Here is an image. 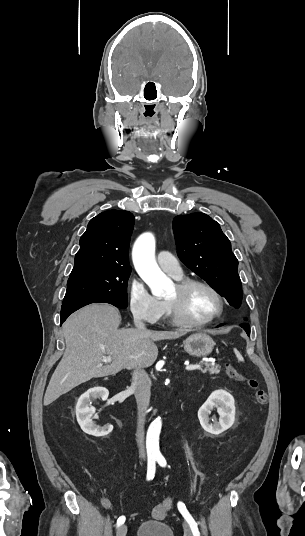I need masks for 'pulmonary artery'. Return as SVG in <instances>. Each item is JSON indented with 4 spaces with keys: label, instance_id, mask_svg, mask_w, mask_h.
Here are the masks:
<instances>
[{
    "label": "pulmonary artery",
    "instance_id": "obj_1",
    "mask_svg": "<svg viewBox=\"0 0 305 536\" xmlns=\"http://www.w3.org/2000/svg\"><path fill=\"white\" fill-rule=\"evenodd\" d=\"M158 265L174 278L183 276V270L176 258L167 251H160L156 257Z\"/></svg>",
    "mask_w": 305,
    "mask_h": 536
}]
</instances>
